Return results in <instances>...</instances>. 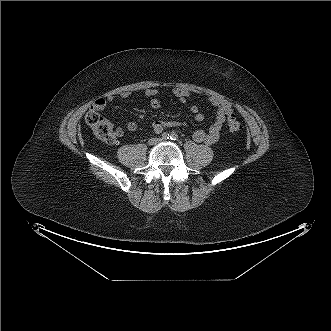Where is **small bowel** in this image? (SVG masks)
Masks as SVG:
<instances>
[{"label":"small bowel","mask_w":331,"mask_h":331,"mask_svg":"<svg viewBox=\"0 0 331 331\" xmlns=\"http://www.w3.org/2000/svg\"><path fill=\"white\" fill-rule=\"evenodd\" d=\"M135 92L134 91H122L119 93V97L122 99H127L131 97ZM171 94L178 98L183 104H187V100L190 97V92L182 88H174L171 91ZM144 96L149 99V104L152 108L158 109L160 107V101L158 99V90L154 88L146 89ZM115 99L114 95H108L106 98L97 99L93 105L92 109L96 111L103 110L108 102H113ZM208 102L217 108V116L215 120L211 123L208 131L196 130L192 137L194 141L198 143H205L207 145L215 144L219 137L220 132L225 124L226 118L234 114V108L230 101L219 96H209ZM190 111L194 115V119L197 122H202L204 120V115L200 112L198 106L193 105L190 107ZM186 126V122H174V121H161L156 120L152 123V128L154 132L161 133L166 127L174 126ZM129 131H136L138 124L136 121H130L126 125Z\"/></svg>","instance_id":"1"}]
</instances>
